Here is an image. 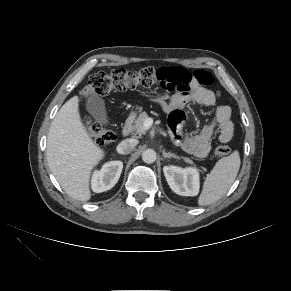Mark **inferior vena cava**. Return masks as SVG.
I'll list each match as a JSON object with an SVG mask.
<instances>
[{
	"instance_id": "1",
	"label": "inferior vena cava",
	"mask_w": 291,
	"mask_h": 291,
	"mask_svg": "<svg viewBox=\"0 0 291 291\" xmlns=\"http://www.w3.org/2000/svg\"><path fill=\"white\" fill-rule=\"evenodd\" d=\"M136 145L137 141L135 139H125L117 146V151L120 154H129Z\"/></svg>"
}]
</instances>
